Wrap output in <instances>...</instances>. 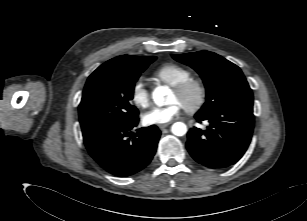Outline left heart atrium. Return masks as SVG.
<instances>
[{"label":"left heart atrium","mask_w":307,"mask_h":221,"mask_svg":"<svg viewBox=\"0 0 307 221\" xmlns=\"http://www.w3.org/2000/svg\"><path fill=\"white\" fill-rule=\"evenodd\" d=\"M183 110V105L178 101H173L167 106L155 107L144 114L143 121L147 125H162L171 122Z\"/></svg>","instance_id":"1"}]
</instances>
